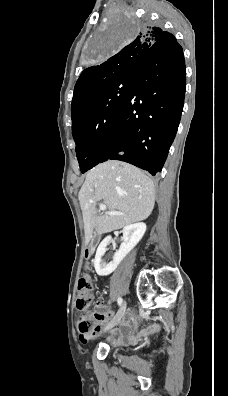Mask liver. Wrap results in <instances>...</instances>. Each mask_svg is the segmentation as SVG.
Instances as JSON below:
<instances>
[{
  "mask_svg": "<svg viewBox=\"0 0 228 396\" xmlns=\"http://www.w3.org/2000/svg\"><path fill=\"white\" fill-rule=\"evenodd\" d=\"M88 244L94 236L121 229L147 219L155 204L153 181L137 167L109 160L98 164L86 175L78 194ZM109 211L123 215H98L97 202Z\"/></svg>",
  "mask_w": 228,
  "mask_h": 396,
  "instance_id": "obj_1",
  "label": "liver"
}]
</instances>
